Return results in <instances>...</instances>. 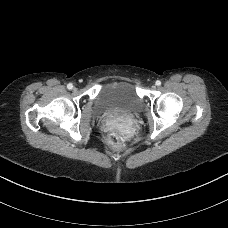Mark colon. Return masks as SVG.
<instances>
[{
    "label": "colon",
    "mask_w": 228,
    "mask_h": 228,
    "mask_svg": "<svg viewBox=\"0 0 228 228\" xmlns=\"http://www.w3.org/2000/svg\"><path fill=\"white\" fill-rule=\"evenodd\" d=\"M107 141L109 146L114 150L121 151L124 148V138L117 130H112L108 134Z\"/></svg>",
    "instance_id": "obj_1"
}]
</instances>
